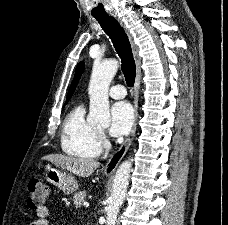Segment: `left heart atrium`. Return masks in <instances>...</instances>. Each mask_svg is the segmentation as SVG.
<instances>
[{
    "instance_id": "obj_1",
    "label": "left heart atrium",
    "mask_w": 228,
    "mask_h": 225,
    "mask_svg": "<svg viewBox=\"0 0 228 225\" xmlns=\"http://www.w3.org/2000/svg\"><path fill=\"white\" fill-rule=\"evenodd\" d=\"M134 113L125 101L115 103L110 109V133L115 137L126 136L132 127Z\"/></svg>"
}]
</instances>
